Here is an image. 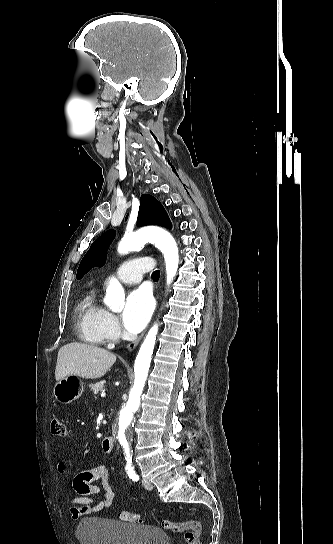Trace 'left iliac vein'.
I'll use <instances>...</instances> for the list:
<instances>
[{"label": "left iliac vein", "instance_id": "4c4485c4", "mask_svg": "<svg viewBox=\"0 0 333 544\" xmlns=\"http://www.w3.org/2000/svg\"><path fill=\"white\" fill-rule=\"evenodd\" d=\"M142 484H143L144 488L147 489V490H152L153 489L152 483L150 481L146 480V479L142 480Z\"/></svg>", "mask_w": 333, "mask_h": 544}]
</instances>
